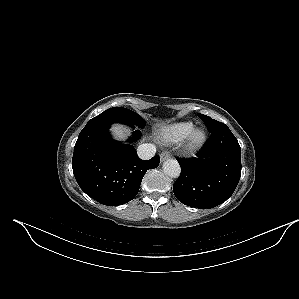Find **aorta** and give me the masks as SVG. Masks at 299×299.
<instances>
[{"instance_id": "aorta-1", "label": "aorta", "mask_w": 299, "mask_h": 299, "mask_svg": "<svg viewBox=\"0 0 299 299\" xmlns=\"http://www.w3.org/2000/svg\"><path fill=\"white\" fill-rule=\"evenodd\" d=\"M163 171L167 176L177 178L180 175L181 168L176 160L168 159L163 163Z\"/></svg>"}]
</instances>
